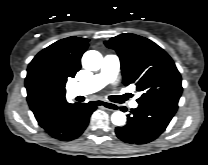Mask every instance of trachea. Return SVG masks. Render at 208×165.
Masks as SVG:
<instances>
[{"mask_svg": "<svg viewBox=\"0 0 208 165\" xmlns=\"http://www.w3.org/2000/svg\"><path fill=\"white\" fill-rule=\"evenodd\" d=\"M129 97H130V94H125V95H122V96H117L116 100L119 101V102H123L126 99H128Z\"/></svg>", "mask_w": 208, "mask_h": 165, "instance_id": "1", "label": "trachea"}]
</instances>
